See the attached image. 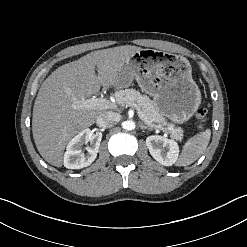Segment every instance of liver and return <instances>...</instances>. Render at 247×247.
I'll return each instance as SVG.
<instances>
[{"mask_svg": "<svg viewBox=\"0 0 247 247\" xmlns=\"http://www.w3.org/2000/svg\"><path fill=\"white\" fill-rule=\"evenodd\" d=\"M141 47L124 45L93 51L64 64L42 83L33 107L32 133L40 155L61 167L68 142L92 126L105 109H81L75 102L115 87L118 71ZM97 68L98 74L95 73Z\"/></svg>", "mask_w": 247, "mask_h": 247, "instance_id": "6515ba94", "label": "liver"}]
</instances>
